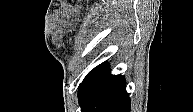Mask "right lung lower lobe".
<instances>
[{"mask_svg": "<svg viewBox=\"0 0 193 112\" xmlns=\"http://www.w3.org/2000/svg\"><path fill=\"white\" fill-rule=\"evenodd\" d=\"M81 112H130V98L121 75H111L108 63L94 68L78 90Z\"/></svg>", "mask_w": 193, "mask_h": 112, "instance_id": "right-lung-lower-lobe-1", "label": "right lung lower lobe"}]
</instances>
